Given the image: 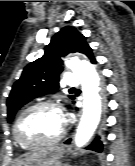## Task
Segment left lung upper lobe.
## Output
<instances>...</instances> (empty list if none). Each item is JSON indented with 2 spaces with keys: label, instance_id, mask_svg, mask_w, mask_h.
I'll list each match as a JSON object with an SVG mask.
<instances>
[{
  "label": "left lung upper lobe",
  "instance_id": "1",
  "mask_svg": "<svg viewBox=\"0 0 135 166\" xmlns=\"http://www.w3.org/2000/svg\"><path fill=\"white\" fill-rule=\"evenodd\" d=\"M75 52L85 54L90 60L94 58L86 38L74 27H64L52 37L44 55L28 64L14 83L7 99L9 123L24 104L58 89L59 75L63 71L61 57ZM69 97L74 99L72 95Z\"/></svg>",
  "mask_w": 135,
  "mask_h": 166
}]
</instances>
